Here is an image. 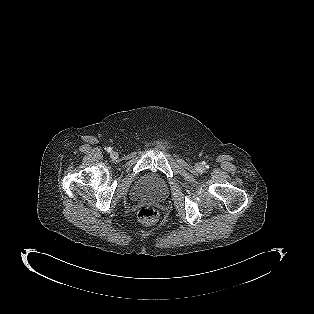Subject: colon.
Listing matches in <instances>:
<instances>
[{
    "label": "colon",
    "instance_id": "obj_1",
    "mask_svg": "<svg viewBox=\"0 0 314 314\" xmlns=\"http://www.w3.org/2000/svg\"><path fill=\"white\" fill-rule=\"evenodd\" d=\"M159 216V210L152 206H144L137 211L138 219L145 224H152L156 222Z\"/></svg>",
    "mask_w": 314,
    "mask_h": 314
}]
</instances>
